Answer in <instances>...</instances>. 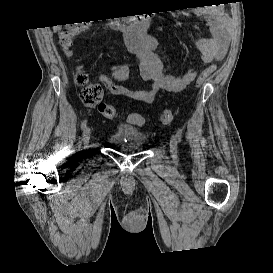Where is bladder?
I'll use <instances>...</instances> for the list:
<instances>
[{"mask_svg": "<svg viewBox=\"0 0 273 273\" xmlns=\"http://www.w3.org/2000/svg\"><path fill=\"white\" fill-rule=\"evenodd\" d=\"M108 141L121 152H132L145 146L147 136L132 125L120 124L109 135Z\"/></svg>", "mask_w": 273, "mask_h": 273, "instance_id": "31cf9c89", "label": "bladder"}]
</instances>
